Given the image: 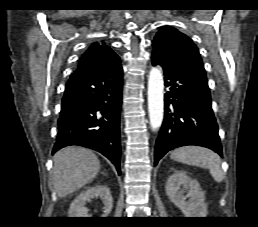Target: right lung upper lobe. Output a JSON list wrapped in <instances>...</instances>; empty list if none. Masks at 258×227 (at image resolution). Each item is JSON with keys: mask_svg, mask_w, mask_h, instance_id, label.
Listing matches in <instances>:
<instances>
[{"mask_svg": "<svg viewBox=\"0 0 258 227\" xmlns=\"http://www.w3.org/2000/svg\"><path fill=\"white\" fill-rule=\"evenodd\" d=\"M113 55L116 54L105 44L99 45L98 43H93L91 47L83 54L75 71L87 69L95 62L105 60Z\"/></svg>", "mask_w": 258, "mask_h": 227, "instance_id": "obj_1", "label": "right lung upper lobe"}]
</instances>
